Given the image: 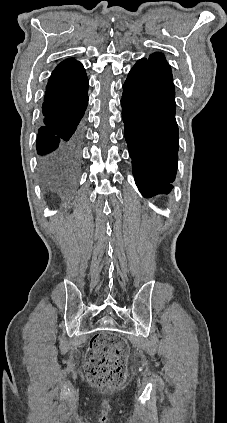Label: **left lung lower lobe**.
Wrapping results in <instances>:
<instances>
[{
  "mask_svg": "<svg viewBox=\"0 0 227 423\" xmlns=\"http://www.w3.org/2000/svg\"><path fill=\"white\" fill-rule=\"evenodd\" d=\"M124 136L133 175L144 197L168 193L178 154L176 105L169 93L146 75L129 73L121 99Z\"/></svg>",
  "mask_w": 227,
  "mask_h": 423,
  "instance_id": "1",
  "label": "left lung lower lobe"
}]
</instances>
